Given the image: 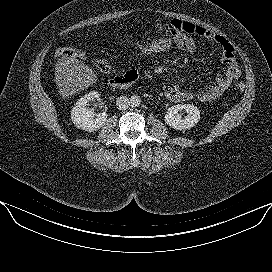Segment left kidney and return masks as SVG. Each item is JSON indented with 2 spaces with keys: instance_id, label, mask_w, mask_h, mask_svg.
I'll list each match as a JSON object with an SVG mask.
<instances>
[{
  "instance_id": "left-kidney-1",
  "label": "left kidney",
  "mask_w": 272,
  "mask_h": 272,
  "mask_svg": "<svg viewBox=\"0 0 272 272\" xmlns=\"http://www.w3.org/2000/svg\"><path fill=\"white\" fill-rule=\"evenodd\" d=\"M185 109L187 116L181 117L179 111ZM200 120L199 109L191 104H178L168 108L165 115L167 125L176 130H186L194 127Z\"/></svg>"
}]
</instances>
